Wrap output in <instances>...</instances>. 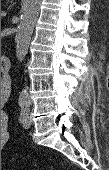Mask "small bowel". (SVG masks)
Instances as JSON below:
<instances>
[{"label":"small bowel","instance_id":"c3829d8e","mask_svg":"<svg viewBox=\"0 0 109 170\" xmlns=\"http://www.w3.org/2000/svg\"><path fill=\"white\" fill-rule=\"evenodd\" d=\"M9 90H5L1 94V102L4 103L8 98ZM8 116L5 112H1V145H4L8 141Z\"/></svg>","mask_w":109,"mask_h":170}]
</instances>
